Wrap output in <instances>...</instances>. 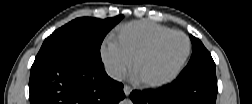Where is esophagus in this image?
Returning <instances> with one entry per match:
<instances>
[{
  "instance_id": "obj_1",
  "label": "esophagus",
  "mask_w": 252,
  "mask_h": 104,
  "mask_svg": "<svg viewBox=\"0 0 252 104\" xmlns=\"http://www.w3.org/2000/svg\"><path fill=\"white\" fill-rule=\"evenodd\" d=\"M125 90H126V92L128 93V92H130L131 88H130L129 86H126V87H125Z\"/></svg>"
}]
</instances>
